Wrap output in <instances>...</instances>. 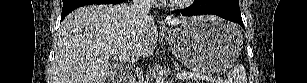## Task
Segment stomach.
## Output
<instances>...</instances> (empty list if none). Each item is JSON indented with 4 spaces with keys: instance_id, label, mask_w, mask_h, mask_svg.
<instances>
[{
    "instance_id": "stomach-1",
    "label": "stomach",
    "mask_w": 307,
    "mask_h": 83,
    "mask_svg": "<svg viewBox=\"0 0 307 83\" xmlns=\"http://www.w3.org/2000/svg\"><path fill=\"white\" fill-rule=\"evenodd\" d=\"M174 56L187 68L220 72L240 55L243 38L236 25L214 16H199L166 34Z\"/></svg>"
}]
</instances>
